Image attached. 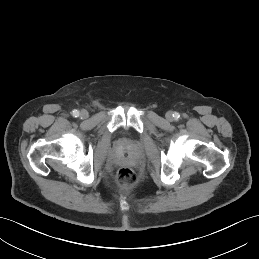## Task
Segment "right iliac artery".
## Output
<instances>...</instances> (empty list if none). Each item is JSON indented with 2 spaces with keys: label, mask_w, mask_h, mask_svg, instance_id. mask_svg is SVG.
<instances>
[{
  "label": "right iliac artery",
  "mask_w": 259,
  "mask_h": 259,
  "mask_svg": "<svg viewBox=\"0 0 259 259\" xmlns=\"http://www.w3.org/2000/svg\"><path fill=\"white\" fill-rule=\"evenodd\" d=\"M72 115L74 116V117H78L79 116V111L78 110H73L72 111Z\"/></svg>",
  "instance_id": "obj_1"
}]
</instances>
